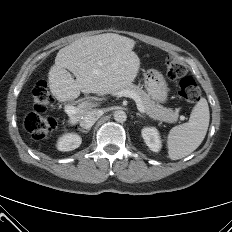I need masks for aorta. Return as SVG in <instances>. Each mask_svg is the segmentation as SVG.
Segmentation results:
<instances>
[{"label":"aorta","instance_id":"aorta-1","mask_svg":"<svg viewBox=\"0 0 232 232\" xmlns=\"http://www.w3.org/2000/svg\"><path fill=\"white\" fill-rule=\"evenodd\" d=\"M113 117H114L115 121L120 122V123L125 122L127 119L126 113L124 111H121V110L115 111L113 114Z\"/></svg>","mask_w":232,"mask_h":232}]
</instances>
